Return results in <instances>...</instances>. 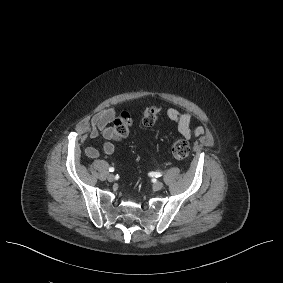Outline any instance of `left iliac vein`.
<instances>
[{"label":"left iliac vein","mask_w":283,"mask_h":283,"mask_svg":"<svg viewBox=\"0 0 283 283\" xmlns=\"http://www.w3.org/2000/svg\"><path fill=\"white\" fill-rule=\"evenodd\" d=\"M164 184L161 181H157L153 185L154 190H161L163 188Z\"/></svg>","instance_id":"4c4485c4"}]
</instances>
